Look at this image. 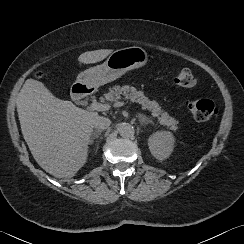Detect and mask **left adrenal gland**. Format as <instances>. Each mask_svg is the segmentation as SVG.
Returning <instances> with one entry per match:
<instances>
[{
	"label": "left adrenal gland",
	"instance_id": "left-adrenal-gland-1",
	"mask_svg": "<svg viewBox=\"0 0 244 244\" xmlns=\"http://www.w3.org/2000/svg\"><path fill=\"white\" fill-rule=\"evenodd\" d=\"M137 117H138V119H139L141 125H147L148 123L153 124V121H152L150 118H148V117H146L145 115H143V114H140V113H139V114L137 115Z\"/></svg>",
	"mask_w": 244,
	"mask_h": 244
}]
</instances>
